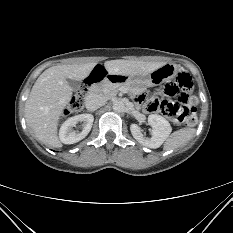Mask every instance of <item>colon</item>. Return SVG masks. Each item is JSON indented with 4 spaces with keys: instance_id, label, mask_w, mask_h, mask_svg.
I'll return each instance as SVG.
<instances>
[{
    "instance_id": "colon-1",
    "label": "colon",
    "mask_w": 233,
    "mask_h": 233,
    "mask_svg": "<svg viewBox=\"0 0 233 233\" xmlns=\"http://www.w3.org/2000/svg\"><path fill=\"white\" fill-rule=\"evenodd\" d=\"M192 81L186 74H179L176 82L165 85L167 98L153 97L145 106L148 112H161L166 118L185 126H194L196 117V98L191 94ZM87 88L83 86L70 100L68 111L77 112L84 108Z\"/></svg>"
}]
</instances>
